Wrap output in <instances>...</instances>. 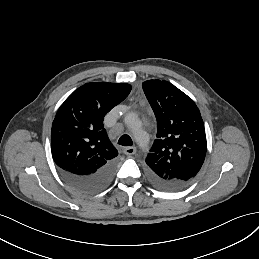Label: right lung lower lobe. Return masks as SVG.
<instances>
[{
	"label": "right lung lower lobe",
	"mask_w": 259,
	"mask_h": 259,
	"mask_svg": "<svg viewBox=\"0 0 259 259\" xmlns=\"http://www.w3.org/2000/svg\"><path fill=\"white\" fill-rule=\"evenodd\" d=\"M116 161L111 160L93 173L74 174L59 168L62 177L75 189L82 192H96L104 188L112 179Z\"/></svg>",
	"instance_id": "right-lung-lower-lobe-1"
}]
</instances>
